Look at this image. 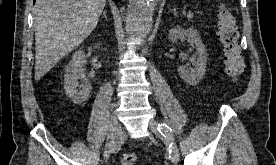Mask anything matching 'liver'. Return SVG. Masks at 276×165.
<instances>
[{"label":"liver","instance_id":"6515ba94","mask_svg":"<svg viewBox=\"0 0 276 165\" xmlns=\"http://www.w3.org/2000/svg\"><path fill=\"white\" fill-rule=\"evenodd\" d=\"M105 5L106 0H36L35 80L92 33Z\"/></svg>","mask_w":276,"mask_h":165}]
</instances>
